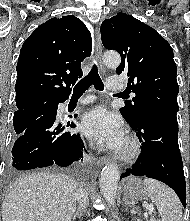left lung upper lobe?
Here are the masks:
<instances>
[{
	"label": "left lung upper lobe",
	"instance_id": "5c2ea615",
	"mask_svg": "<svg viewBox=\"0 0 190 221\" xmlns=\"http://www.w3.org/2000/svg\"><path fill=\"white\" fill-rule=\"evenodd\" d=\"M106 49L120 53L117 74L128 76L127 88L136 94L120 113L130 124L146 109L178 111L177 67L170 44L156 30L125 13L106 19L101 25Z\"/></svg>",
	"mask_w": 190,
	"mask_h": 221
}]
</instances>
